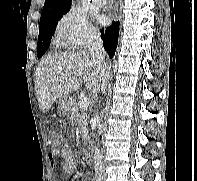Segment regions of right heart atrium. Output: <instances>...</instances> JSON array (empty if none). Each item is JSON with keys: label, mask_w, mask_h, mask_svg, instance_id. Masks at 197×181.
<instances>
[{"label": "right heart atrium", "mask_w": 197, "mask_h": 181, "mask_svg": "<svg viewBox=\"0 0 197 181\" xmlns=\"http://www.w3.org/2000/svg\"><path fill=\"white\" fill-rule=\"evenodd\" d=\"M58 39L73 49H85L98 39L97 29L79 8H69L57 24Z\"/></svg>", "instance_id": "obj_1"}]
</instances>
